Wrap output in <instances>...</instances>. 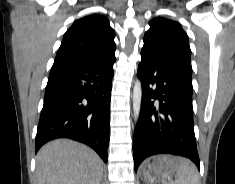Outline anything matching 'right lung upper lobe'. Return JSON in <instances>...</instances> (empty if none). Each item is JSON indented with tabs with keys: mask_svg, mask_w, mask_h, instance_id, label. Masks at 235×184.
Returning a JSON list of instances; mask_svg holds the SVG:
<instances>
[{
	"mask_svg": "<svg viewBox=\"0 0 235 184\" xmlns=\"http://www.w3.org/2000/svg\"><path fill=\"white\" fill-rule=\"evenodd\" d=\"M115 32L107 18L92 14L73 23L64 34L53 65L103 64L115 61Z\"/></svg>",
	"mask_w": 235,
	"mask_h": 184,
	"instance_id": "cb5924a9",
	"label": "right lung upper lobe"
}]
</instances>
